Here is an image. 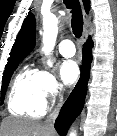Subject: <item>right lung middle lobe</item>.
Returning <instances> with one entry per match:
<instances>
[{
  "label": "right lung middle lobe",
  "mask_w": 117,
  "mask_h": 136,
  "mask_svg": "<svg viewBox=\"0 0 117 136\" xmlns=\"http://www.w3.org/2000/svg\"><path fill=\"white\" fill-rule=\"evenodd\" d=\"M23 59H16V60H10L7 62V65L5 67L4 76L2 80V88H1V102L4 101L6 89L8 87V84L10 82V78L15 71V69L18 66V63Z\"/></svg>",
  "instance_id": "obj_1"
}]
</instances>
